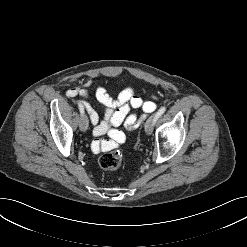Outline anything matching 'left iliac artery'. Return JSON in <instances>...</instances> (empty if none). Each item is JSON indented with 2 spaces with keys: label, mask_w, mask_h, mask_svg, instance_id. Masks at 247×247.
<instances>
[{
  "label": "left iliac artery",
  "mask_w": 247,
  "mask_h": 247,
  "mask_svg": "<svg viewBox=\"0 0 247 247\" xmlns=\"http://www.w3.org/2000/svg\"><path fill=\"white\" fill-rule=\"evenodd\" d=\"M165 111H166V107H165V106L161 107V108L158 110V112L155 114V121H157L158 118H160L161 115H162Z\"/></svg>",
  "instance_id": "left-iliac-artery-1"
}]
</instances>
